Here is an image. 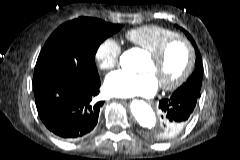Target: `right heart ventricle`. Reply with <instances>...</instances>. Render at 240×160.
I'll use <instances>...</instances> for the list:
<instances>
[{
    "mask_svg": "<svg viewBox=\"0 0 240 160\" xmlns=\"http://www.w3.org/2000/svg\"><path fill=\"white\" fill-rule=\"evenodd\" d=\"M177 36V33L159 25H145L129 30L125 37L135 47L148 53L154 52L165 40Z\"/></svg>",
    "mask_w": 240,
    "mask_h": 160,
    "instance_id": "obj_1",
    "label": "right heart ventricle"
}]
</instances>
